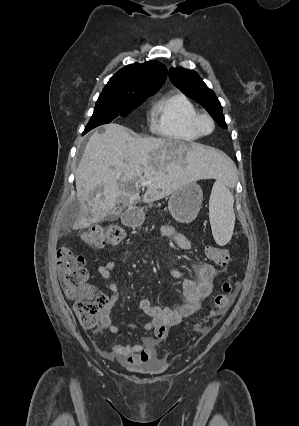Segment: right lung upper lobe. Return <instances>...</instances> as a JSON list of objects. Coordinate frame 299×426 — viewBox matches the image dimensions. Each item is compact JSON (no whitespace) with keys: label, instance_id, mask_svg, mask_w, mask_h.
Here are the masks:
<instances>
[{"label":"right lung upper lobe","instance_id":"1","mask_svg":"<svg viewBox=\"0 0 299 426\" xmlns=\"http://www.w3.org/2000/svg\"><path fill=\"white\" fill-rule=\"evenodd\" d=\"M166 77L167 68L160 62L134 63L119 70L104 90L123 97H135L143 92L157 91Z\"/></svg>","mask_w":299,"mask_h":426}]
</instances>
